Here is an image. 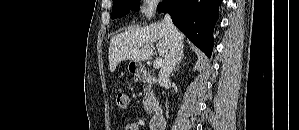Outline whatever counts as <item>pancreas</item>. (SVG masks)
<instances>
[{
    "mask_svg": "<svg viewBox=\"0 0 299 130\" xmlns=\"http://www.w3.org/2000/svg\"><path fill=\"white\" fill-rule=\"evenodd\" d=\"M143 105L145 111L149 114L154 113L157 109V101L150 83H148V86L144 89Z\"/></svg>",
    "mask_w": 299,
    "mask_h": 130,
    "instance_id": "pancreas-1",
    "label": "pancreas"
}]
</instances>
